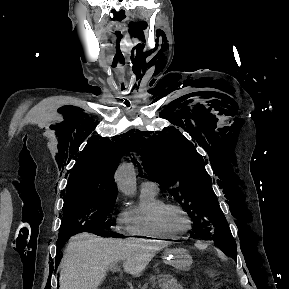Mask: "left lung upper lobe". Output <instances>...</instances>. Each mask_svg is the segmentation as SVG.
I'll return each instance as SVG.
<instances>
[{
	"label": "left lung upper lobe",
	"mask_w": 289,
	"mask_h": 289,
	"mask_svg": "<svg viewBox=\"0 0 289 289\" xmlns=\"http://www.w3.org/2000/svg\"><path fill=\"white\" fill-rule=\"evenodd\" d=\"M141 155L148 178L167 189L193 219L190 237L213 240L225 254L237 260L235 240L204 161L193 144L181 133L169 130L146 140Z\"/></svg>",
	"instance_id": "left-lung-upper-lobe-1"
}]
</instances>
